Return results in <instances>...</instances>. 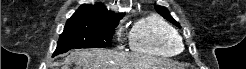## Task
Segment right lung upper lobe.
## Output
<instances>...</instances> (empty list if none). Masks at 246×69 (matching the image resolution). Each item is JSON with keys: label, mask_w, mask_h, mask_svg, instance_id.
<instances>
[{"label": "right lung upper lobe", "mask_w": 246, "mask_h": 69, "mask_svg": "<svg viewBox=\"0 0 246 69\" xmlns=\"http://www.w3.org/2000/svg\"><path fill=\"white\" fill-rule=\"evenodd\" d=\"M123 16V13L115 14L112 11H108L102 3L96 5L83 4L68 21H119Z\"/></svg>", "instance_id": "cb5924a9"}]
</instances>
